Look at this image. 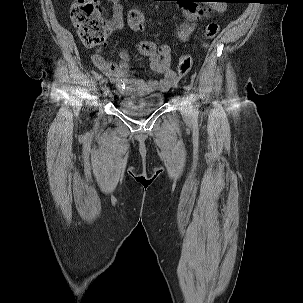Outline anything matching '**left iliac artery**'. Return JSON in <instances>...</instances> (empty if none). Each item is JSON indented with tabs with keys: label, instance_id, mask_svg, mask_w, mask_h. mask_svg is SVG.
Masks as SVG:
<instances>
[{
	"label": "left iliac artery",
	"instance_id": "44dca946",
	"mask_svg": "<svg viewBox=\"0 0 303 303\" xmlns=\"http://www.w3.org/2000/svg\"><path fill=\"white\" fill-rule=\"evenodd\" d=\"M186 90L189 91V88L186 87ZM189 99H190L191 102H193V104H194V105L192 106V116H193L194 119H197V118H198L199 112H198V107H197V104H196V96H195V94L190 93V94H189Z\"/></svg>",
	"mask_w": 303,
	"mask_h": 303
}]
</instances>
